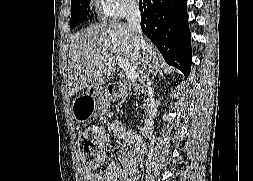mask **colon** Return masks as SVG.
<instances>
[{"label": "colon", "mask_w": 253, "mask_h": 181, "mask_svg": "<svg viewBox=\"0 0 253 181\" xmlns=\"http://www.w3.org/2000/svg\"><path fill=\"white\" fill-rule=\"evenodd\" d=\"M79 151L83 165L89 170L96 169L106 151V138L102 130L93 127L82 131L79 136Z\"/></svg>", "instance_id": "obj_1"}]
</instances>
